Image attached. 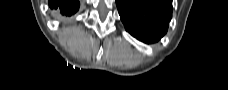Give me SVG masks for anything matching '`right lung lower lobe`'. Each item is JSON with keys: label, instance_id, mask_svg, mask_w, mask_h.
I'll use <instances>...</instances> for the list:
<instances>
[{"label": "right lung lower lobe", "instance_id": "98d812e1", "mask_svg": "<svg viewBox=\"0 0 228 90\" xmlns=\"http://www.w3.org/2000/svg\"><path fill=\"white\" fill-rule=\"evenodd\" d=\"M49 6L60 10L62 14L72 15L78 10L79 2L77 0H49Z\"/></svg>", "mask_w": 228, "mask_h": 90}]
</instances>
